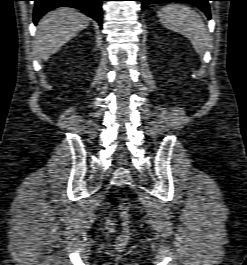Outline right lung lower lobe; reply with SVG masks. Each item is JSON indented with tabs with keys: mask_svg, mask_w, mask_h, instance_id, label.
I'll list each match as a JSON object with an SVG mask.
<instances>
[{
	"mask_svg": "<svg viewBox=\"0 0 247 265\" xmlns=\"http://www.w3.org/2000/svg\"><path fill=\"white\" fill-rule=\"evenodd\" d=\"M35 8L33 20L36 24L38 20L48 11L57 7L77 8L89 17L96 20L102 26V1L104 0H34Z\"/></svg>",
	"mask_w": 247,
	"mask_h": 265,
	"instance_id": "obj_1",
	"label": "right lung lower lobe"
}]
</instances>
